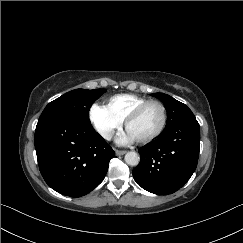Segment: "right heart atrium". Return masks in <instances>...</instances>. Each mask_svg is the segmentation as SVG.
Segmentation results:
<instances>
[{"mask_svg":"<svg viewBox=\"0 0 243 243\" xmlns=\"http://www.w3.org/2000/svg\"><path fill=\"white\" fill-rule=\"evenodd\" d=\"M89 121L94 129L105 139L112 138L122 126V120L114 115L106 106L94 104L89 109Z\"/></svg>","mask_w":243,"mask_h":243,"instance_id":"right-heart-atrium-1","label":"right heart atrium"}]
</instances>
